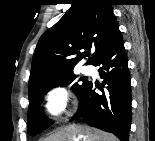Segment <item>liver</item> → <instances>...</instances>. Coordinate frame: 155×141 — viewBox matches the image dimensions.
Listing matches in <instances>:
<instances>
[{
  "instance_id": "obj_1",
  "label": "liver",
  "mask_w": 155,
  "mask_h": 141,
  "mask_svg": "<svg viewBox=\"0 0 155 141\" xmlns=\"http://www.w3.org/2000/svg\"><path fill=\"white\" fill-rule=\"evenodd\" d=\"M118 141L113 134L85 125H69L59 128L44 141Z\"/></svg>"
}]
</instances>
